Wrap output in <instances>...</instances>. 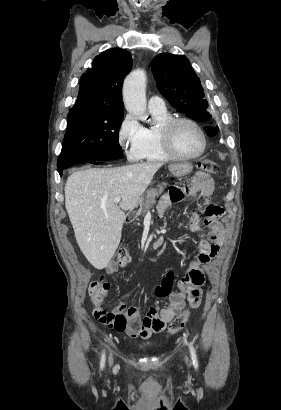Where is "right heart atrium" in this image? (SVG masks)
I'll list each match as a JSON object with an SVG mask.
<instances>
[{"label":"right heart atrium","mask_w":281,"mask_h":410,"mask_svg":"<svg viewBox=\"0 0 281 410\" xmlns=\"http://www.w3.org/2000/svg\"><path fill=\"white\" fill-rule=\"evenodd\" d=\"M145 128L131 114H126L118 129V142L130 161L139 158L144 141Z\"/></svg>","instance_id":"obj_1"}]
</instances>
